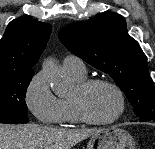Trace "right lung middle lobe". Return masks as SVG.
Segmentation results:
<instances>
[{
    "label": "right lung middle lobe",
    "instance_id": "right-lung-middle-lobe-1",
    "mask_svg": "<svg viewBox=\"0 0 155 149\" xmlns=\"http://www.w3.org/2000/svg\"><path fill=\"white\" fill-rule=\"evenodd\" d=\"M34 71L0 76V123H28L26 90Z\"/></svg>",
    "mask_w": 155,
    "mask_h": 149
}]
</instances>
